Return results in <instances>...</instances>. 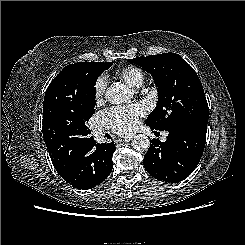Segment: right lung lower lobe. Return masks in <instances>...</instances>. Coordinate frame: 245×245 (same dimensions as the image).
I'll return each instance as SVG.
<instances>
[{"label":"right lung lower lobe","mask_w":245,"mask_h":245,"mask_svg":"<svg viewBox=\"0 0 245 245\" xmlns=\"http://www.w3.org/2000/svg\"><path fill=\"white\" fill-rule=\"evenodd\" d=\"M45 141V140H44ZM54 168L69 184L91 189L111 173L115 144L96 143L89 135L59 136L45 141Z\"/></svg>","instance_id":"right-lung-lower-lobe-1"}]
</instances>
